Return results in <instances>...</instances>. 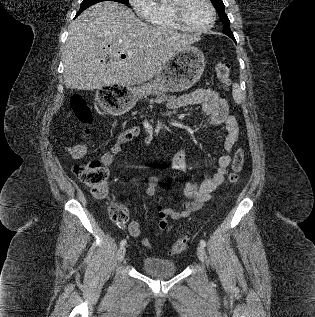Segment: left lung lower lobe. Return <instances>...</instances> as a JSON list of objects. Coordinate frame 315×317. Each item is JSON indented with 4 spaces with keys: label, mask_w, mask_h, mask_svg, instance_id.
<instances>
[{
    "label": "left lung lower lobe",
    "mask_w": 315,
    "mask_h": 317,
    "mask_svg": "<svg viewBox=\"0 0 315 317\" xmlns=\"http://www.w3.org/2000/svg\"><path fill=\"white\" fill-rule=\"evenodd\" d=\"M231 39H233L235 41V38L234 37H230ZM236 42V41H235Z\"/></svg>",
    "instance_id": "0a47b994"
}]
</instances>
